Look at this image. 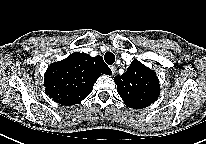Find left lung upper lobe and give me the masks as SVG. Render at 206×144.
<instances>
[{"mask_svg": "<svg viewBox=\"0 0 206 144\" xmlns=\"http://www.w3.org/2000/svg\"><path fill=\"white\" fill-rule=\"evenodd\" d=\"M117 91L131 108H145L154 103L160 93L156 73L134 59L127 71L114 78Z\"/></svg>", "mask_w": 206, "mask_h": 144, "instance_id": "5c2ea615", "label": "left lung upper lobe"}]
</instances>
